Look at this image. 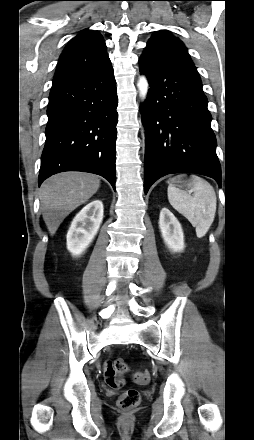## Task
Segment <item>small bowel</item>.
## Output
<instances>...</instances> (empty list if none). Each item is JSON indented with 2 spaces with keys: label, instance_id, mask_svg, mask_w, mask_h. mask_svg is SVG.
<instances>
[{
  "label": "small bowel",
  "instance_id": "c3829d8e",
  "mask_svg": "<svg viewBox=\"0 0 254 440\" xmlns=\"http://www.w3.org/2000/svg\"><path fill=\"white\" fill-rule=\"evenodd\" d=\"M103 375L105 377V381L109 386L115 387V378L113 367L110 361H105L103 364Z\"/></svg>",
  "mask_w": 254,
  "mask_h": 440
}]
</instances>
